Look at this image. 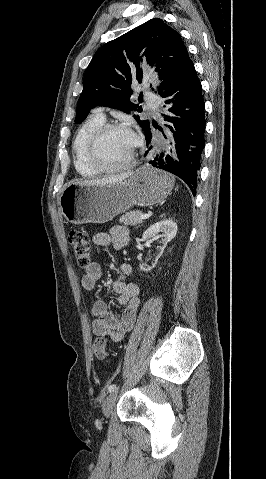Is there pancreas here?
<instances>
[{
  "label": "pancreas",
  "mask_w": 266,
  "mask_h": 479,
  "mask_svg": "<svg viewBox=\"0 0 266 479\" xmlns=\"http://www.w3.org/2000/svg\"><path fill=\"white\" fill-rule=\"evenodd\" d=\"M142 212L140 210L130 211L124 215H122L119 219L120 223L125 225L135 226L137 224H141L143 219L140 218Z\"/></svg>",
  "instance_id": "1"
}]
</instances>
